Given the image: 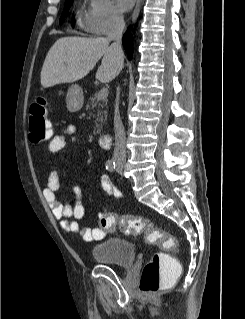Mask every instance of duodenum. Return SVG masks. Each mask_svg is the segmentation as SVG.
<instances>
[{"mask_svg": "<svg viewBox=\"0 0 245 319\" xmlns=\"http://www.w3.org/2000/svg\"><path fill=\"white\" fill-rule=\"evenodd\" d=\"M100 146L103 149H109L111 147V135L104 133L99 137Z\"/></svg>", "mask_w": 245, "mask_h": 319, "instance_id": "obj_1", "label": "duodenum"}]
</instances>
